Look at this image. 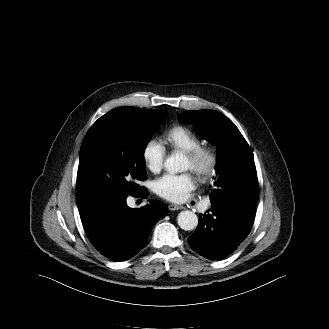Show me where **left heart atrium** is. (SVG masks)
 Returning <instances> with one entry per match:
<instances>
[{"mask_svg": "<svg viewBox=\"0 0 329 329\" xmlns=\"http://www.w3.org/2000/svg\"><path fill=\"white\" fill-rule=\"evenodd\" d=\"M196 187L195 179L190 172L183 174H165L154 183L155 192L172 202H182Z\"/></svg>", "mask_w": 329, "mask_h": 329, "instance_id": "39dd6f15", "label": "left heart atrium"}]
</instances>
